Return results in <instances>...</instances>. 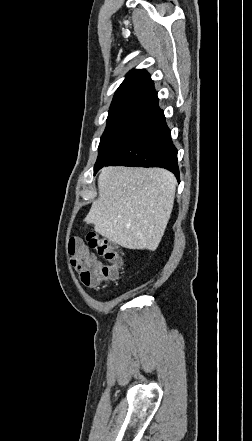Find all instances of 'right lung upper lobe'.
Listing matches in <instances>:
<instances>
[{"label": "right lung upper lobe", "instance_id": "obj_1", "mask_svg": "<svg viewBox=\"0 0 252 441\" xmlns=\"http://www.w3.org/2000/svg\"><path fill=\"white\" fill-rule=\"evenodd\" d=\"M156 95L150 75L144 69L132 70L117 89L110 108L136 102H148Z\"/></svg>", "mask_w": 252, "mask_h": 441}]
</instances>
